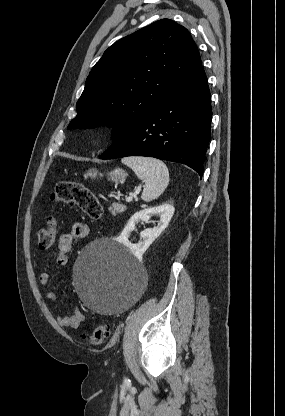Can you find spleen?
<instances>
[{
    "label": "spleen",
    "instance_id": "obj_1",
    "mask_svg": "<svg viewBox=\"0 0 285 416\" xmlns=\"http://www.w3.org/2000/svg\"><path fill=\"white\" fill-rule=\"evenodd\" d=\"M121 162L131 168L139 180H144L145 188L141 196L144 202L157 200L166 190L169 184V172L164 162L156 158H141V156L122 158Z\"/></svg>",
    "mask_w": 285,
    "mask_h": 416
}]
</instances>
